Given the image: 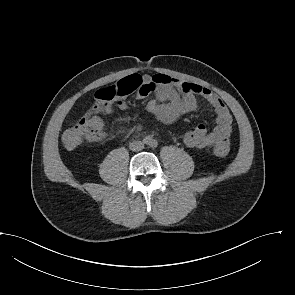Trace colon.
Listing matches in <instances>:
<instances>
[{
  "label": "colon",
  "mask_w": 295,
  "mask_h": 295,
  "mask_svg": "<svg viewBox=\"0 0 295 295\" xmlns=\"http://www.w3.org/2000/svg\"><path fill=\"white\" fill-rule=\"evenodd\" d=\"M143 88V78L140 75H129L117 83L100 89L95 94V103L91 109L80 119L64 130L62 142L67 149L78 147L84 140L98 138L99 114L107 107L114 105L122 97ZM230 151L229 142H224L214 148V153L220 157L226 156Z\"/></svg>",
  "instance_id": "5ec220e1"
}]
</instances>
